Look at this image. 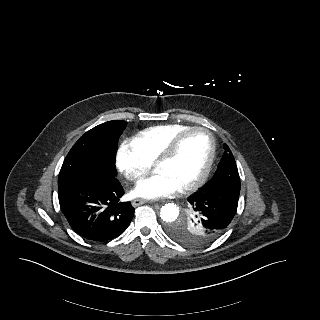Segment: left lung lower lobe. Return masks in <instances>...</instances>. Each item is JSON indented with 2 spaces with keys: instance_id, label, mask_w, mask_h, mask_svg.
Instances as JSON below:
<instances>
[{
  "instance_id": "obj_1",
  "label": "left lung lower lobe",
  "mask_w": 320,
  "mask_h": 320,
  "mask_svg": "<svg viewBox=\"0 0 320 320\" xmlns=\"http://www.w3.org/2000/svg\"><path fill=\"white\" fill-rule=\"evenodd\" d=\"M239 197L226 192L200 189L188 201L200 214L207 237L212 241L227 230L238 206Z\"/></svg>"
}]
</instances>
